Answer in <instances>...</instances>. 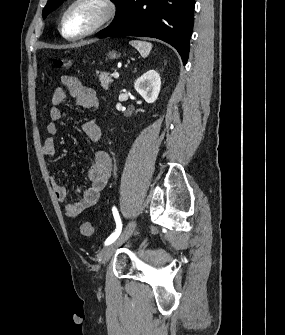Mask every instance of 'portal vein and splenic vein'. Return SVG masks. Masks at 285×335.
<instances>
[{
    "label": "portal vein and splenic vein",
    "mask_w": 285,
    "mask_h": 335,
    "mask_svg": "<svg viewBox=\"0 0 285 335\" xmlns=\"http://www.w3.org/2000/svg\"><path fill=\"white\" fill-rule=\"evenodd\" d=\"M112 76H114V78H119L118 72H114V74H112Z\"/></svg>",
    "instance_id": "1"
}]
</instances>
